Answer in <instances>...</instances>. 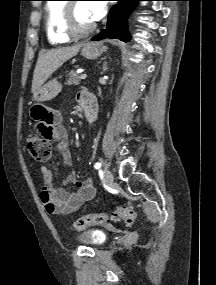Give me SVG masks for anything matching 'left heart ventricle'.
Wrapping results in <instances>:
<instances>
[{
	"mask_svg": "<svg viewBox=\"0 0 216 285\" xmlns=\"http://www.w3.org/2000/svg\"><path fill=\"white\" fill-rule=\"evenodd\" d=\"M74 11H75V19H76V23L78 27L84 29L94 24V22L91 20L88 14L86 3L77 2L75 4Z\"/></svg>",
	"mask_w": 216,
	"mask_h": 285,
	"instance_id": "left-heart-ventricle-1",
	"label": "left heart ventricle"
}]
</instances>
